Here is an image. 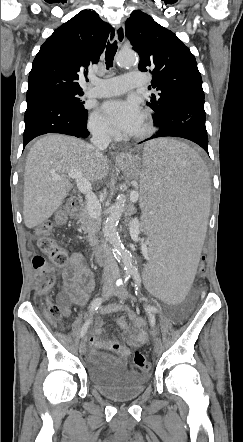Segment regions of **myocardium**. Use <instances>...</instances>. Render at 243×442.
Here are the masks:
<instances>
[{
    "label": "myocardium",
    "mask_w": 243,
    "mask_h": 442,
    "mask_svg": "<svg viewBox=\"0 0 243 442\" xmlns=\"http://www.w3.org/2000/svg\"><path fill=\"white\" fill-rule=\"evenodd\" d=\"M143 116L146 120V128L143 132L135 135H131V139L133 140H144L152 135L154 132L155 126H154V120L151 112L149 110H145L143 112Z\"/></svg>",
    "instance_id": "obj_1"
}]
</instances>
